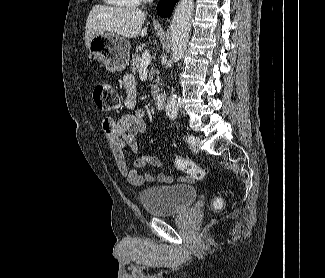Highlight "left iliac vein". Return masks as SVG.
I'll return each instance as SVG.
<instances>
[{"mask_svg": "<svg viewBox=\"0 0 325 278\" xmlns=\"http://www.w3.org/2000/svg\"><path fill=\"white\" fill-rule=\"evenodd\" d=\"M198 144H199V139H198V138H195L194 142H192V143L190 144V149H191L193 152H198V150H199V146H198Z\"/></svg>", "mask_w": 325, "mask_h": 278, "instance_id": "obj_1", "label": "left iliac vein"}]
</instances>
